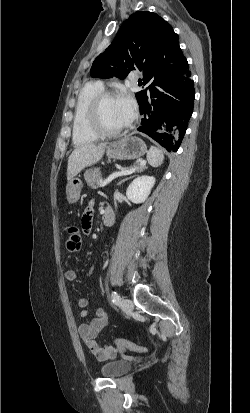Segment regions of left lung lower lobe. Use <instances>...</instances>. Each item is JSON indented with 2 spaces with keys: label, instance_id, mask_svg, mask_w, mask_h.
Instances as JSON below:
<instances>
[{
  "label": "left lung lower lobe",
  "instance_id": "left-lung-lower-lobe-1",
  "mask_svg": "<svg viewBox=\"0 0 250 413\" xmlns=\"http://www.w3.org/2000/svg\"><path fill=\"white\" fill-rule=\"evenodd\" d=\"M157 54V66L143 82L150 85L136 94L143 115L138 131L176 152L193 112L194 85L178 36L160 40Z\"/></svg>",
  "mask_w": 250,
  "mask_h": 413
}]
</instances>
